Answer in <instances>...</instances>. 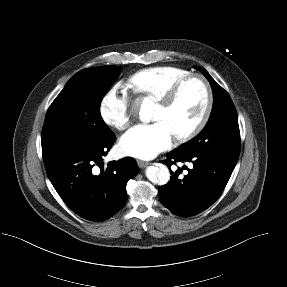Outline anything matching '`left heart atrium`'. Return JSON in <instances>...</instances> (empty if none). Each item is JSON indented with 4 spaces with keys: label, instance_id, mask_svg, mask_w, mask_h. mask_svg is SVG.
<instances>
[{
    "label": "left heart atrium",
    "instance_id": "39dd6f15",
    "mask_svg": "<svg viewBox=\"0 0 287 287\" xmlns=\"http://www.w3.org/2000/svg\"><path fill=\"white\" fill-rule=\"evenodd\" d=\"M173 135L162 121L139 124L125 133L120 140L124 154L151 159L171 146Z\"/></svg>",
    "mask_w": 287,
    "mask_h": 287
}]
</instances>
